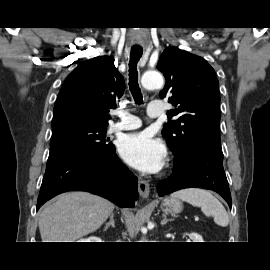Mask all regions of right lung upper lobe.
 Masks as SVG:
<instances>
[{
  "label": "right lung upper lobe",
  "mask_w": 270,
  "mask_h": 270,
  "mask_svg": "<svg viewBox=\"0 0 270 270\" xmlns=\"http://www.w3.org/2000/svg\"><path fill=\"white\" fill-rule=\"evenodd\" d=\"M124 90L113 57L85 61L66 78L54 105L52 126L71 121L108 125L109 109L116 108Z\"/></svg>",
  "instance_id": "right-lung-upper-lobe-1"
}]
</instances>
